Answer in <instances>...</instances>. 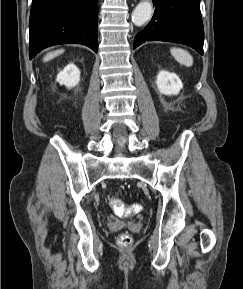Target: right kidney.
<instances>
[{"instance_id":"obj_1","label":"right kidney","mask_w":243,"mask_h":289,"mask_svg":"<svg viewBox=\"0 0 243 289\" xmlns=\"http://www.w3.org/2000/svg\"><path fill=\"white\" fill-rule=\"evenodd\" d=\"M56 81L67 88L75 87L80 81V70L75 64L70 63L58 73Z\"/></svg>"}]
</instances>
